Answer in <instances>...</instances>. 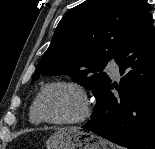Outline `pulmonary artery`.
<instances>
[{"label": "pulmonary artery", "mask_w": 155, "mask_h": 149, "mask_svg": "<svg viewBox=\"0 0 155 149\" xmlns=\"http://www.w3.org/2000/svg\"><path fill=\"white\" fill-rule=\"evenodd\" d=\"M107 69L109 70V72L112 74V76L114 77H118L119 76V67L116 64V62L111 61L108 66Z\"/></svg>", "instance_id": "e3ab8cb5"}]
</instances>
